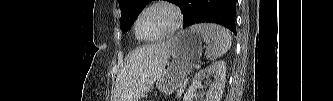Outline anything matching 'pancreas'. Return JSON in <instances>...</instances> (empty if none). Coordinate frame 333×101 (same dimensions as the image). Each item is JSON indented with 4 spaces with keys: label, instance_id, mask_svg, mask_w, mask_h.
<instances>
[{
    "label": "pancreas",
    "instance_id": "pancreas-1",
    "mask_svg": "<svg viewBox=\"0 0 333 101\" xmlns=\"http://www.w3.org/2000/svg\"><path fill=\"white\" fill-rule=\"evenodd\" d=\"M187 81H188V79L186 78V79L183 80V82L180 84V87H179V89H178V91H177V95H176L177 98L181 97L183 91H184L185 88H186Z\"/></svg>",
    "mask_w": 333,
    "mask_h": 101
}]
</instances>
